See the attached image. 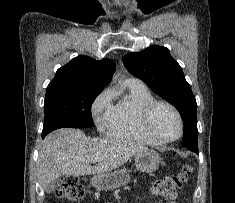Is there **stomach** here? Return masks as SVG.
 Segmentation results:
<instances>
[{"label":"stomach","mask_w":235,"mask_h":203,"mask_svg":"<svg viewBox=\"0 0 235 203\" xmlns=\"http://www.w3.org/2000/svg\"><path fill=\"white\" fill-rule=\"evenodd\" d=\"M135 165L140 172L151 173L158 169L160 156L154 150L146 149L138 152L135 156ZM130 181L129 171L118 169L114 172L96 174L91 179V184L98 190H113L128 184Z\"/></svg>","instance_id":"stomach-1"}]
</instances>
